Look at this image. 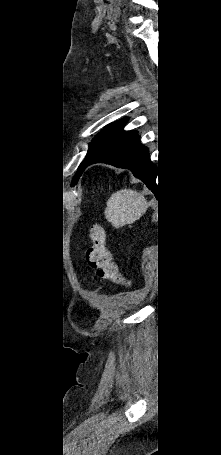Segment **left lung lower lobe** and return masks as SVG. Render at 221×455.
<instances>
[{"mask_svg": "<svg viewBox=\"0 0 221 455\" xmlns=\"http://www.w3.org/2000/svg\"><path fill=\"white\" fill-rule=\"evenodd\" d=\"M136 131L122 132L97 153L84 167L94 163H107L132 171L149 189L157 192L156 170L149 158V150L138 142Z\"/></svg>", "mask_w": 221, "mask_h": 455, "instance_id": "obj_1", "label": "left lung lower lobe"}]
</instances>
